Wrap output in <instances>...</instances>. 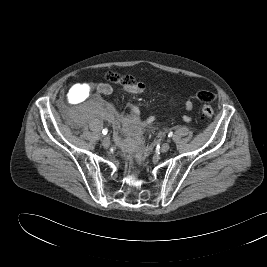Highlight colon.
<instances>
[{"label":"colon","instance_id":"obj_1","mask_svg":"<svg viewBox=\"0 0 267 267\" xmlns=\"http://www.w3.org/2000/svg\"><path fill=\"white\" fill-rule=\"evenodd\" d=\"M106 80L114 84H120L123 86H134L138 82L130 75H120L116 72H108L105 75ZM197 100L202 104V114L206 118H212L214 111L211 106L215 99V95L209 91H200L196 95Z\"/></svg>","mask_w":267,"mask_h":267}]
</instances>
